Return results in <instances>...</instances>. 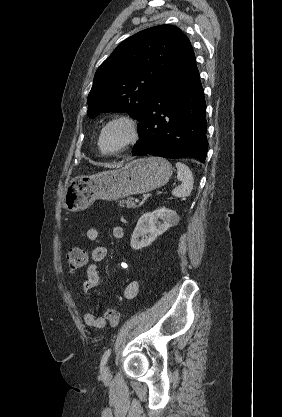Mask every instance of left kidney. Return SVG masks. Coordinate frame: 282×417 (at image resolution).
<instances>
[{"instance_id": "left-kidney-1", "label": "left kidney", "mask_w": 282, "mask_h": 417, "mask_svg": "<svg viewBox=\"0 0 282 417\" xmlns=\"http://www.w3.org/2000/svg\"><path fill=\"white\" fill-rule=\"evenodd\" d=\"M159 219L163 221L160 223ZM157 223V225H156ZM179 223V217L176 211L166 209V206H160L153 213H144L137 221V225L131 237V247L134 251H139L143 247H149L159 235L168 231L169 227H176Z\"/></svg>"}]
</instances>
